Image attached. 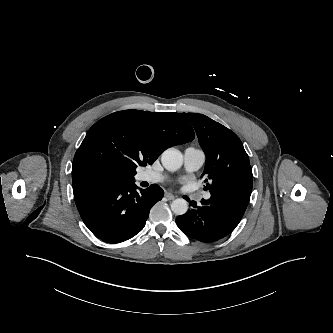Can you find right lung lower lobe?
<instances>
[{
  "mask_svg": "<svg viewBox=\"0 0 333 333\" xmlns=\"http://www.w3.org/2000/svg\"><path fill=\"white\" fill-rule=\"evenodd\" d=\"M104 179H85L73 184L74 200L88 229L101 240L119 243L139 233L149 211L162 199L158 185L143 190Z\"/></svg>",
  "mask_w": 333,
  "mask_h": 333,
  "instance_id": "obj_1",
  "label": "right lung lower lobe"
}]
</instances>
